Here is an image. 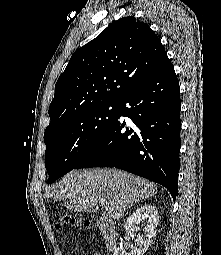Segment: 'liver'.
I'll return each mask as SVG.
<instances>
[{"mask_svg": "<svg viewBox=\"0 0 221 255\" xmlns=\"http://www.w3.org/2000/svg\"><path fill=\"white\" fill-rule=\"evenodd\" d=\"M156 193V184L144 178L116 169H92L69 172L45 195L62 200L75 212H88L99 202L109 217L119 219L134 204Z\"/></svg>", "mask_w": 221, "mask_h": 255, "instance_id": "liver-1", "label": "liver"}]
</instances>
